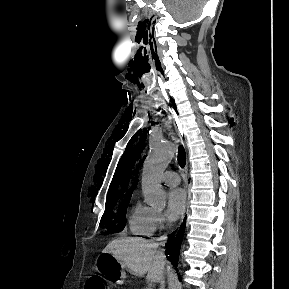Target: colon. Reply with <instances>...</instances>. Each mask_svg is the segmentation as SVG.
<instances>
[{
    "instance_id": "colon-1",
    "label": "colon",
    "mask_w": 289,
    "mask_h": 289,
    "mask_svg": "<svg viewBox=\"0 0 289 289\" xmlns=\"http://www.w3.org/2000/svg\"><path fill=\"white\" fill-rule=\"evenodd\" d=\"M85 289H107V286L102 278L91 277L87 281Z\"/></svg>"
}]
</instances>
